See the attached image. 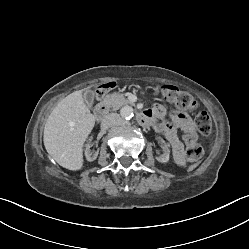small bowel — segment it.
Returning <instances> with one entry per match:
<instances>
[{
    "label": "small bowel",
    "instance_id": "small-bowel-1",
    "mask_svg": "<svg viewBox=\"0 0 249 249\" xmlns=\"http://www.w3.org/2000/svg\"><path fill=\"white\" fill-rule=\"evenodd\" d=\"M151 123L156 119L163 122L157 125V129L161 132L169 144L176 163H183V144L177 136V130L181 132L194 131V123L192 118L181 110H168L162 104H156L144 113Z\"/></svg>",
    "mask_w": 249,
    "mask_h": 249
}]
</instances>
